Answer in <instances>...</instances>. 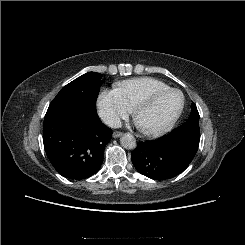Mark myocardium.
Masks as SVG:
<instances>
[{
	"label": "myocardium",
	"mask_w": 245,
	"mask_h": 245,
	"mask_svg": "<svg viewBox=\"0 0 245 245\" xmlns=\"http://www.w3.org/2000/svg\"><path fill=\"white\" fill-rule=\"evenodd\" d=\"M172 92H177L180 94L181 96V105L179 107V109L176 111V113L172 116V118L170 120H168L166 123H164L162 126L156 128V129H152V130H146V129H142L139 127V130L146 136L148 137H158L161 136L165 133H167L168 131H170L172 129V127L176 124V122L178 121V119L180 118V116L183 113L184 110V106H185V97L182 93V91H180L177 88H167L164 90H159V91H155L152 92L144 97H142L141 99H139L132 107V114H133V118L136 121L138 112L141 108L149 105L151 102H153L154 100L158 99L161 96H164L168 93H172Z\"/></svg>",
	"instance_id": "obj_1"
}]
</instances>
